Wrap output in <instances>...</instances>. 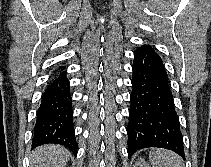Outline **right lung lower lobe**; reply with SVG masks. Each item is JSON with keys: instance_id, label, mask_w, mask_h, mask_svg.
I'll use <instances>...</instances> for the list:
<instances>
[{"instance_id": "right-lung-lower-lobe-1", "label": "right lung lower lobe", "mask_w": 211, "mask_h": 167, "mask_svg": "<svg viewBox=\"0 0 211 167\" xmlns=\"http://www.w3.org/2000/svg\"><path fill=\"white\" fill-rule=\"evenodd\" d=\"M64 68H59L45 88L37 110L32 148L60 144L76 156L78 145L73 125L72 97Z\"/></svg>"}]
</instances>
